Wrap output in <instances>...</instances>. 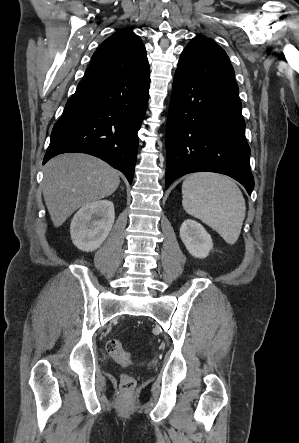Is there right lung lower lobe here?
I'll return each instance as SVG.
<instances>
[{
	"label": "right lung lower lobe",
	"mask_w": 299,
	"mask_h": 443,
	"mask_svg": "<svg viewBox=\"0 0 299 443\" xmlns=\"http://www.w3.org/2000/svg\"><path fill=\"white\" fill-rule=\"evenodd\" d=\"M149 74L80 81L53 127L43 164L61 153H87L123 172L131 184Z\"/></svg>",
	"instance_id": "1"
}]
</instances>
